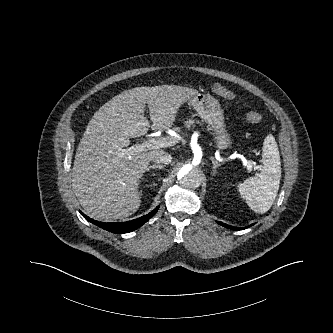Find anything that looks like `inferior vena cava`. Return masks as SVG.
Wrapping results in <instances>:
<instances>
[{
	"instance_id": "602c4592",
	"label": "inferior vena cava",
	"mask_w": 333,
	"mask_h": 333,
	"mask_svg": "<svg viewBox=\"0 0 333 333\" xmlns=\"http://www.w3.org/2000/svg\"><path fill=\"white\" fill-rule=\"evenodd\" d=\"M153 162L157 164H169L172 161V156L168 153H157L155 154L152 159Z\"/></svg>"
}]
</instances>
